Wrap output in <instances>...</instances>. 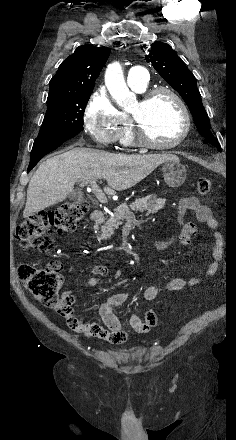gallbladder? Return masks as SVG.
Here are the masks:
<instances>
[{"mask_svg": "<svg viewBox=\"0 0 236 440\" xmlns=\"http://www.w3.org/2000/svg\"><path fill=\"white\" fill-rule=\"evenodd\" d=\"M83 197L82 193L79 190H75L69 194V198L72 200H80Z\"/></svg>", "mask_w": 236, "mask_h": 440, "instance_id": "obj_1", "label": "gallbladder"}]
</instances>
